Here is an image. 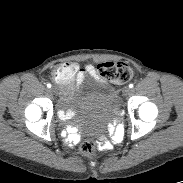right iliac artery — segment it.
I'll list each match as a JSON object with an SVG mask.
<instances>
[{
    "instance_id": "obj_1",
    "label": "right iliac artery",
    "mask_w": 183,
    "mask_h": 183,
    "mask_svg": "<svg viewBox=\"0 0 183 183\" xmlns=\"http://www.w3.org/2000/svg\"><path fill=\"white\" fill-rule=\"evenodd\" d=\"M47 87H48V88H51V84H50V83H48V84H47Z\"/></svg>"
}]
</instances>
